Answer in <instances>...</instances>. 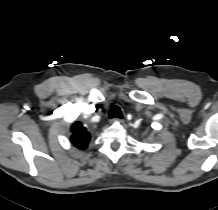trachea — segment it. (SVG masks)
Returning <instances> with one entry per match:
<instances>
[{
	"mask_svg": "<svg viewBox=\"0 0 218 210\" xmlns=\"http://www.w3.org/2000/svg\"><path fill=\"white\" fill-rule=\"evenodd\" d=\"M109 118H122V112L118 106H113L109 111Z\"/></svg>",
	"mask_w": 218,
	"mask_h": 210,
	"instance_id": "1",
	"label": "trachea"
}]
</instances>
